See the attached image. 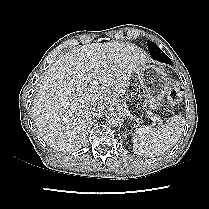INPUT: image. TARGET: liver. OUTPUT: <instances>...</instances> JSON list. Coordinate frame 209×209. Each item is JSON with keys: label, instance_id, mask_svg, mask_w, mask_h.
I'll use <instances>...</instances> for the list:
<instances>
[{"label": "liver", "instance_id": "obj_1", "mask_svg": "<svg viewBox=\"0 0 209 209\" xmlns=\"http://www.w3.org/2000/svg\"><path fill=\"white\" fill-rule=\"evenodd\" d=\"M146 56L119 42L75 48L49 68L34 98L33 120L41 138L61 152L79 150L92 124L91 111L124 95L131 74ZM94 75L99 85L91 86Z\"/></svg>", "mask_w": 209, "mask_h": 209}]
</instances>
